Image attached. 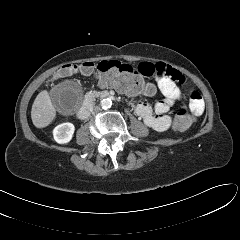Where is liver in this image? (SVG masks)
Here are the masks:
<instances>
[{"mask_svg": "<svg viewBox=\"0 0 240 240\" xmlns=\"http://www.w3.org/2000/svg\"><path fill=\"white\" fill-rule=\"evenodd\" d=\"M56 116L49 93L41 91L34 100L31 110V118L35 127L44 128L48 126Z\"/></svg>", "mask_w": 240, "mask_h": 240, "instance_id": "1", "label": "liver"}]
</instances>
